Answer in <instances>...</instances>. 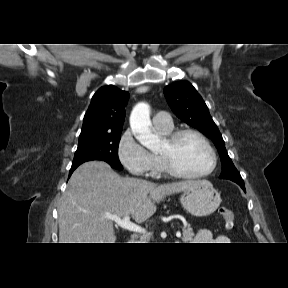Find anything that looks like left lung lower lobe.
<instances>
[{
  "label": "left lung lower lobe",
  "mask_w": 288,
  "mask_h": 288,
  "mask_svg": "<svg viewBox=\"0 0 288 288\" xmlns=\"http://www.w3.org/2000/svg\"><path fill=\"white\" fill-rule=\"evenodd\" d=\"M241 186V188L245 191V186L244 185H240Z\"/></svg>",
  "instance_id": "1"
}]
</instances>
